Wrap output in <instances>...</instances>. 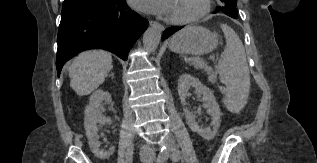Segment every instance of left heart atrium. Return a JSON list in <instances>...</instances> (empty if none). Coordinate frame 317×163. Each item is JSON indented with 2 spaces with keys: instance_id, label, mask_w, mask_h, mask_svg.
Returning a JSON list of instances; mask_svg holds the SVG:
<instances>
[{
  "instance_id": "left-heart-atrium-1",
  "label": "left heart atrium",
  "mask_w": 317,
  "mask_h": 163,
  "mask_svg": "<svg viewBox=\"0 0 317 163\" xmlns=\"http://www.w3.org/2000/svg\"><path fill=\"white\" fill-rule=\"evenodd\" d=\"M173 0H131L132 5L142 11L157 14L168 15Z\"/></svg>"
}]
</instances>
